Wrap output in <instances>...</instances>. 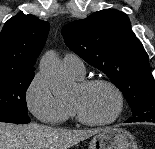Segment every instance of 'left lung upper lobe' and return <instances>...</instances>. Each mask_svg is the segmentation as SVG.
Returning a JSON list of instances; mask_svg holds the SVG:
<instances>
[{"label":"left lung upper lobe","mask_w":155,"mask_h":149,"mask_svg":"<svg viewBox=\"0 0 155 149\" xmlns=\"http://www.w3.org/2000/svg\"><path fill=\"white\" fill-rule=\"evenodd\" d=\"M66 45L120 88L133 117L155 109V82L127 15L104 9L62 28Z\"/></svg>","instance_id":"obj_1"}]
</instances>
